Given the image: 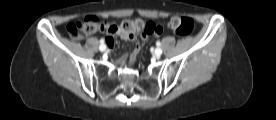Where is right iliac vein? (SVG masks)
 <instances>
[{
  "label": "right iliac vein",
  "instance_id": "right-iliac-vein-1",
  "mask_svg": "<svg viewBox=\"0 0 276 120\" xmlns=\"http://www.w3.org/2000/svg\"><path fill=\"white\" fill-rule=\"evenodd\" d=\"M99 49H100V51H105L106 46H105L104 44H103V45H100Z\"/></svg>",
  "mask_w": 276,
  "mask_h": 120
}]
</instances>
